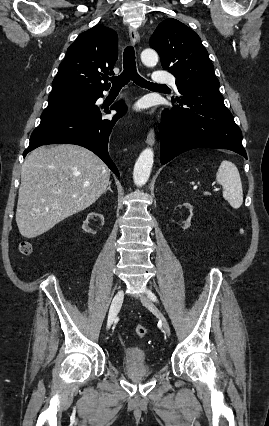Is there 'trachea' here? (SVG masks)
<instances>
[{
  "mask_svg": "<svg viewBox=\"0 0 269 426\" xmlns=\"http://www.w3.org/2000/svg\"><path fill=\"white\" fill-rule=\"evenodd\" d=\"M112 82V88H122L128 82L133 81L135 84L144 88H160L165 85L149 82L142 78L136 69L135 51L132 46H127L123 53V72L112 78H108Z\"/></svg>",
  "mask_w": 269,
  "mask_h": 426,
  "instance_id": "obj_1",
  "label": "trachea"
}]
</instances>
